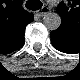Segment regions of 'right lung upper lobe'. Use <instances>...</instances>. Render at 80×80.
<instances>
[{"label": "right lung upper lobe", "instance_id": "cb5924a9", "mask_svg": "<svg viewBox=\"0 0 80 80\" xmlns=\"http://www.w3.org/2000/svg\"><path fill=\"white\" fill-rule=\"evenodd\" d=\"M12 21L14 22V25L12 24V27L14 29L20 28L21 31V29L24 28L30 22V19H23V18L19 20L12 19ZM8 29H10V27H8Z\"/></svg>", "mask_w": 80, "mask_h": 80}]
</instances>
